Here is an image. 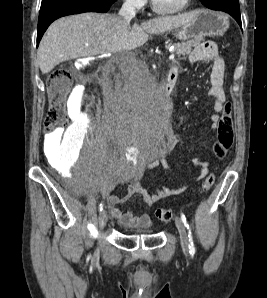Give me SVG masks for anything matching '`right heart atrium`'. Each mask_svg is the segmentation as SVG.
<instances>
[{
  "instance_id": "right-heart-atrium-1",
  "label": "right heart atrium",
  "mask_w": 267,
  "mask_h": 298,
  "mask_svg": "<svg viewBox=\"0 0 267 298\" xmlns=\"http://www.w3.org/2000/svg\"><path fill=\"white\" fill-rule=\"evenodd\" d=\"M124 1L127 5H129L130 7L136 10L143 9L147 4V0H124Z\"/></svg>"
}]
</instances>
